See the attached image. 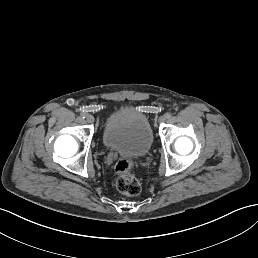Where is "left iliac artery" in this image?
<instances>
[{"label":"left iliac artery","mask_w":258,"mask_h":258,"mask_svg":"<svg viewBox=\"0 0 258 258\" xmlns=\"http://www.w3.org/2000/svg\"><path fill=\"white\" fill-rule=\"evenodd\" d=\"M172 116V113L171 112H167L166 114H165V117L166 118H170Z\"/></svg>","instance_id":"left-iliac-artery-1"}]
</instances>
